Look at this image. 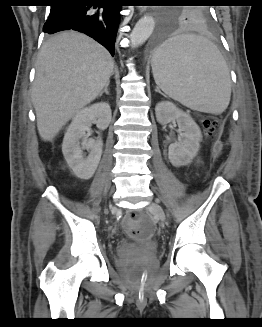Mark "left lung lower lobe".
Instances as JSON below:
<instances>
[{"mask_svg":"<svg viewBox=\"0 0 262 327\" xmlns=\"http://www.w3.org/2000/svg\"><path fill=\"white\" fill-rule=\"evenodd\" d=\"M164 39V31L162 29L158 30L150 41L149 46L151 50L156 51L163 44L162 42L164 41Z\"/></svg>","mask_w":262,"mask_h":327,"instance_id":"left-lung-lower-lobe-1","label":"left lung lower lobe"}]
</instances>
